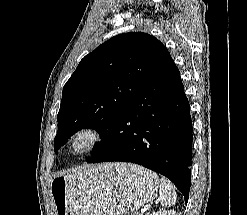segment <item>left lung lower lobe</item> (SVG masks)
Masks as SVG:
<instances>
[{"label": "left lung lower lobe", "mask_w": 247, "mask_h": 215, "mask_svg": "<svg viewBox=\"0 0 247 215\" xmlns=\"http://www.w3.org/2000/svg\"><path fill=\"white\" fill-rule=\"evenodd\" d=\"M192 140L189 102L168 53L121 115L107 142L86 161L142 165L169 178L187 203Z\"/></svg>", "instance_id": "0a47b994"}]
</instances>
